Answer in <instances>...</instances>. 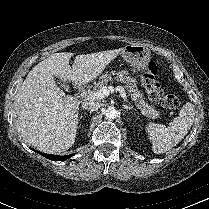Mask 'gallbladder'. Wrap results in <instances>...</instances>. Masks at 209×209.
I'll return each instance as SVG.
<instances>
[{
  "label": "gallbladder",
  "instance_id": "1",
  "mask_svg": "<svg viewBox=\"0 0 209 209\" xmlns=\"http://www.w3.org/2000/svg\"><path fill=\"white\" fill-rule=\"evenodd\" d=\"M58 84L63 88V89H68L67 85L62 83V81H59Z\"/></svg>",
  "mask_w": 209,
  "mask_h": 209
}]
</instances>
